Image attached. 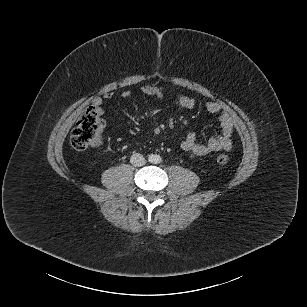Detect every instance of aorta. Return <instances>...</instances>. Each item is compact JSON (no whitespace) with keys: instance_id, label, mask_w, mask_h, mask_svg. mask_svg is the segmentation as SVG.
I'll return each instance as SVG.
<instances>
[{"instance_id":"1","label":"aorta","mask_w":307,"mask_h":307,"mask_svg":"<svg viewBox=\"0 0 307 307\" xmlns=\"http://www.w3.org/2000/svg\"><path fill=\"white\" fill-rule=\"evenodd\" d=\"M148 159L151 163H158L161 160V157L159 155L151 154Z\"/></svg>"}]
</instances>
